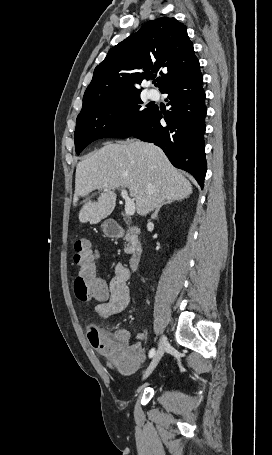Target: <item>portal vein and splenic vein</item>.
Returning a JSON list of instances; mask_svg holds the SVG:
<instances>
[{"mask_svg": "<svg viewBox=\"0 0 272 455\" xmlns=\"http://www.w3.org/2000/svg\"><path fill=\"white\" fill-rule=\"evenodd\" d=\"M121 195L125 200V213L127 216H132L135 213L134 199L129 198L128 193L125 189H122Z\"/></svg>", "mask_w": 272, "mask_h": 455, "instance_id": "18ae733b", "label": "portal vein and splenic vein"}]
</instances>
